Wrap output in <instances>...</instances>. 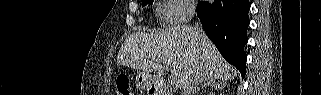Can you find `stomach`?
<instances>
[{
	"label": "stomach",
	"mask_w": 321,
	"mask_h": 95,
	"mask_svg": "<svg viewBox=\"0 0 321 95\" xmlns=\"http://www.w3.org/2000/svg\"><path fill=\"white\" fill-rule=\"evenodd\" d=\"M136 82L138 86L143 90H148L151 87L150 78L143 72L137 74Z\"/></svg>",
	"instance_id": "1"
}]
</instances>
